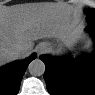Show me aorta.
Instances as JSON below:
<instances>
[{
    "instance_id": "aorta-1",
    "label": "aorta",
    "mask_w": 95,
    "mask_h": 95,
    "mask_svg": "<svg viewBox=\"0 0 95 95\" xmlns=\"http://www.w3.org/2000/svg\"><path fill=\"white\" fill-rule=\"evenodd\" d=\"M28 70L33 76H41L45 72V64L42 60L35 59L29 64Z\"/></svg>"
}]
</instances>
